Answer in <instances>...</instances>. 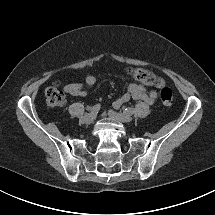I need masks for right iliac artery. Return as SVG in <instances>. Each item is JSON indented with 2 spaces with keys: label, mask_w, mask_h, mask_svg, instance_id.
<instances>
[{
  "label": "right iliac artery",
  "mask_w": 215,
  "mask_h": 215,
  "mask_svg": "<svg viewBox=\"0 0 215 215\" xmlns=\"http://www.w3.org/2000/svg\"><path fill=\"white\" fill-rule=\"evenodd\" d=\"M101 108V105L100 104H96L94 105L92 108H91V112L94 113V114H97L98 111L100 110Z\"/></svg>",
  "instance_id": "82829eb1"
}]
</instances>
